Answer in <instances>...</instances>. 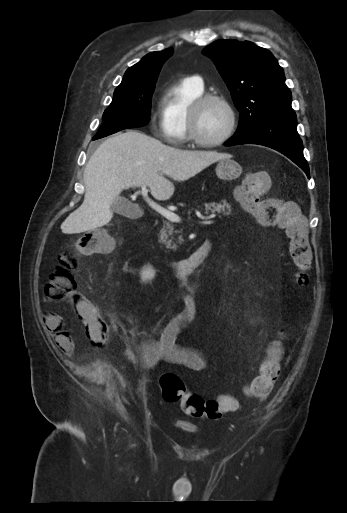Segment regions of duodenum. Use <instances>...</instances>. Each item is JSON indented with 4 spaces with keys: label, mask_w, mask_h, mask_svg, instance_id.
Listing matches in <instances>:
<instances>
[{
    "label": "duodenum",
    "mask_w": 347,
    "mask_h": 513,
    "mask_svg": "<svg viewBox=\"0 0 347 513\" xmlns=\"http://www.w3.org/2000/svg\"><path fill=\"white\" fill-rule=\"evenodd\" d=\"M211 248V242L205 240L188 257L179 261L171 262L169 267L177 281L185 282L196 277V269L205 260Z\"/></svg>",
    "instance_id": "duodenum-1"
}]
</instances>
